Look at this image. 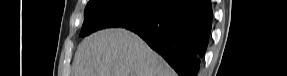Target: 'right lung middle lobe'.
<instances>
[{
	"instance_id": "dd1d6c3e",
	"label": "right lung middle lobe",
	"mask_w": 287,
	"mask_h": 76,
	"mask_svg": "<svg viewBox=\"0 0 287 76\" xmlns=\"http://www.w3.org/2000/svg\"><path fill=\"white\" fill-rule=\"evenodd\" d=\"M165 0H91L84 11L80 36L105 28H128L150 19Z\"/></svg>"
}]
</instances>
